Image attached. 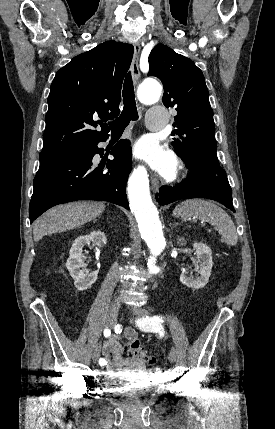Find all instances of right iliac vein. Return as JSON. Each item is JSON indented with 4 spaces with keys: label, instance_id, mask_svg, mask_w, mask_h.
<instances>
[{
    "label": "right iliac vein",
    "instance_id": "obj_1",
    "mask_svg": "<svg viewBox=\"0 0 275 429\" xmlns=\"http://www.w3.org/2000/svg\"><path fill=\"white\" fill-rule=\"evenodd\" d=\"M119 305H113L107 315V319H106V326L109 328H113L117 322V318H118V314H119ZM100 349L101 346L100 344H96L94 349H93V353H92V359L93 362H96L100 356Z\"/></svg>",
    "mask_w": 275,
    "mask_h": 429
}]
</instances>
